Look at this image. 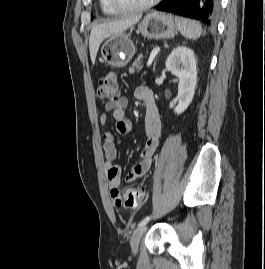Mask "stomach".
Instances as JSON below:
<instances>
[{
  "label": "stomach",
  "instance_id": "stomach-1",
  "mask_svg": "<svg viewBox=\"0 0 265 269\" xmlns=\"http://www.w3.org/2000/svg\"><path fill=\"white\" fill-rule=\"evenodd\" d=\"M138 29L148 39H170L178 31L173 16L161 12L147 14ZM136 52L129 35L120 33L109 36L101 46L102 60L113 67L126 66Z\"/></svg>",
  "mask_w": 265,
  "mask_h": 269
}]
</instances>
